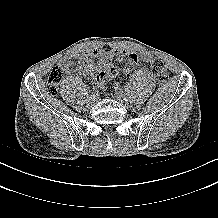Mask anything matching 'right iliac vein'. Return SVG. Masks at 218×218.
Segmentation results:
<instances>
[{
    "instance_id": "obj_1",
    "label": "right iliac vein",
    "mask_w": 218,
    "mask_h": 218,
    "mask_svg": "<svg viewBox=\"0 0 218 218\" xmlns=\"http://www.w3.org/2000/svg\"><path fill=\"white\" fill-rule=\"evenodd\" d=\"M97 101V97L95 94L90 95L86 100L87 107H92Z\"/></svg>"
}]
</instances>
